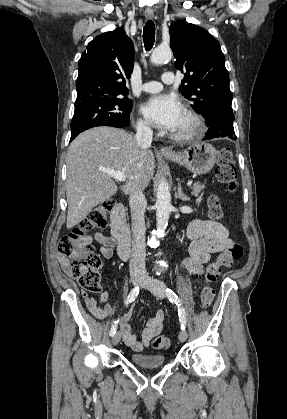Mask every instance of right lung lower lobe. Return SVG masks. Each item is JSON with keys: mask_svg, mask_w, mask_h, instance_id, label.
I'll return each mask as SVG.
<instances>
[{"mask_svg": "<svg viewBox=\"0 0 287 419\" xmlns=\"http://www.w3.org/2000/svg\"><path fill=\"white\" fill-rule=\"evenodd\" d=\"M96 126H111V127H116V128H124V127H126V126H120V125H115V124H96V125H93V126H90V127H88V128H85L84 130H82L81 132H83V131H85V130H87V129H89V128H92V127H96ZM81 132H79V133H81ZM79 133H77V134H75V135H72L71 136V139H70V142L79 134Z\"/></svg>", "mask_w": 287, "mask_h": 419, "instance_id": "98d812e1", "label": "right lung lower lobe"}]
</instances>
